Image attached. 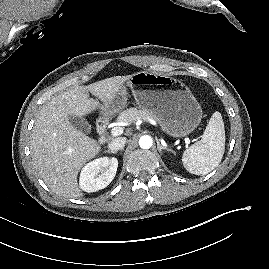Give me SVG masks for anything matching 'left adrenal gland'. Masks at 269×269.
<instances>
[{
  "mask_svg": "<svg viewBox=\"0 0 269 269\" xmlns=\"http://www.w3.org/2000/svg\"><path fill=\"white\" fill-rule=\"evenodd\" d=\"M156 140H157V147H158V150H159L160 153H162V150H167L168 152L173 153V151L171 149L162 146L158 139H156Z\"/></svg>",
  "mask_w": 269,
  "mask_h": 269,
  "instance_id": "a2214340",
  "label": "left adrenal gland"
}]
</instances>
